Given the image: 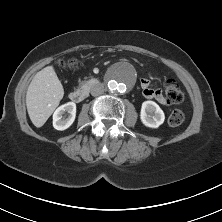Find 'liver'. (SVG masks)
Segmentation results:
<instances>
[{"label":"liver","instance_id":"1","mask_svg":"<svg viewBox=\"0 0 222 222\" xmlns=\"http://www.w3.org/2000/svg\"><path fill=\"white\" fill-rule=\"evenodd\" d=\"M63 96L64 89L53 66L36 73L26 93L27 111L34 126L44 125Z\"/></svg>","mask_w":222,"mask_h":222}]
</instances>
